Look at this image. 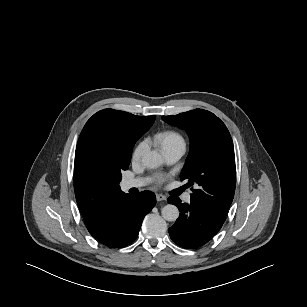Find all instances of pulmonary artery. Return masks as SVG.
<instances>
[{
    "mask_svg": "<svg viewBox=\"0 0 307 307\" xmlns=\"http://www.w3.org/2000/svg\"><path fill=\"white\" fill-rule=\"evenodd\" d=\"M185 153V145H176L169 147L163 151L164 157L168 164L175 163L178 161L183 154ZM148 183V179L146 178H130L125 179L122 183V187L124 190H129L131 188H140L145 186ZM191 196L189 193L185 194L183 200L185 202H189Z\"/></svg>",
    "mask_w": 307,
    "mask_h": 307,
    "instance_id": "e3ab8cb5",
    "label": "pulmonary artery"
}]
</instances>
